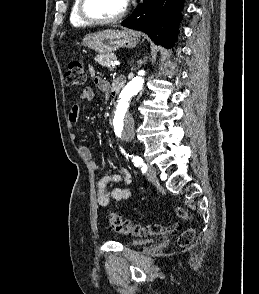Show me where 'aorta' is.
Masks as SVG:
<instances>
[{"instance_id":"aorta-1","label":"aorta","mask_w":259,"mask_h":294,"mask_svg":"<svg viewBox=\"0 0 259 294\" xmlns=\"http://www.w3.org/2000/svg\"><path fill=\"white\" fill-rule=\"evenodd\" d=\"M144 71L132 79L120 92L111 114L112 135L116 140H130L134 137V120L128 113V103L143 87Z\"/></svg>"}]
</instances>
